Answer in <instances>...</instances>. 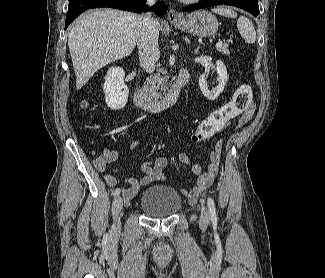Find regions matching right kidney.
Instances as JSON below:
<instances>
[{
  "label": "right kidney",
  "mask_w": 325,
  "mask_h": 278,
  "mask_svg": "<svg viewBox=\"0 0 325 278\" xmlns=\"http://www.w3.org/2000/svg\"><path fill=\"white\" fill-rule=\"evenodd\" d=\"M125 72L122 67H110L105 76L103 91L105 102L113 110L124 108L129 90L124 83Z\"/></svg>",
  "instance_id": "obj_1"
}]
</instances>
